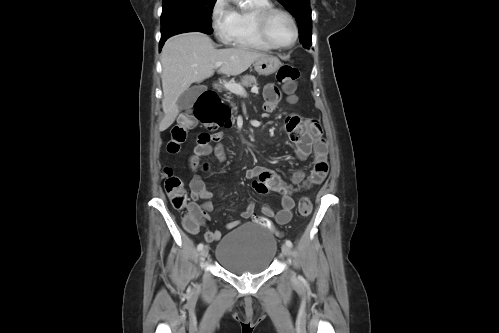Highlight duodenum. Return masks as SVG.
<instances>
[{
  "instance_id": "1",
  "label": "duodenum",
  "mask_w": 499,
  "mask_h": 333,
  "mask_svg": "<svg viewBox=\"0 0 499 333\" xmlns=\"http://www.w3.org/2000/svg\"><path fill=\"white\" fill-rule=\"evenodd\" d=\"M208 91L214 90L210 89ZM207 92L203 93L196 103V115L200 119H209L218 115L216 106L207 103Z\"/></svg>"
}]
</instances>
